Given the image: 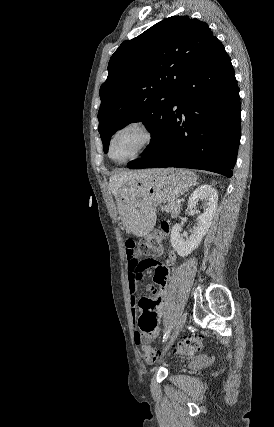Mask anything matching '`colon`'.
<instances>
[{
    "label": "colon",
    "mask_w": 274,
    "mask_h": 427,
    "mask_svg": "<svg viewBox=\"0 0 274 427\" xmlns=\"http://www.w3.org/2000/svg\"><path fill=\"white\" fill-rule=\"evenodd\" d=\"M169 230L167 224H160L148 236L144 237L137 246H135L134 253L135 261L147 260L148 256L159 252V248H166L163 243L165 242V235ZM201 340L196 337H187L184 341L174 347V352L183 356H191L201 348ZM140 358L144 360L145 364H157L158 357L154 350H150L149 346H144L140 351Z\"/></svg>",
    "instance_id": "5ec220e1"
}]
</instances>
